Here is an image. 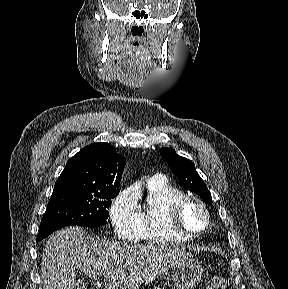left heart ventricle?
<instances>
[{
    "label": "left heart ventricle",
    "mask_w": 288,
    "mask_h": 289,
    "mask_svg": "<svg viewBox=\"0 0 288 289\" xmlns=\"http://www.w3.org/2000/svg\"><path fill=\"white\" fill-rule=\"evenodd\" d=\"M182 225L189 232H200L206 226V218L202 209L195 203L186 204L180 212Z\"/></svg>",
    "instance_id": "1"
}]
</instances>
